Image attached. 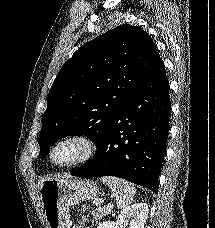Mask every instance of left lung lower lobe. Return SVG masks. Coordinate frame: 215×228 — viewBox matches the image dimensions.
Listing matches in <instances>:
<instances>
[{"label":"left lung lower lobe","mask_w":215,"mask_h":228,"mask_svg":"<svg viewBox=\"0 0 215 228\" xmlns=\"http://www.w3.org/2000/svg\"><path fill=\"white\" fill-rule=\"evenodd\" d=\"M170 110L169 82L158 54L145 78L116 113L93 159L71 175L116 176L156 193Z\"/></svg>","instance_id":"0a47b994"}]
</instances>
